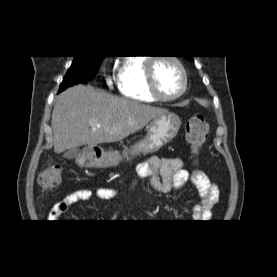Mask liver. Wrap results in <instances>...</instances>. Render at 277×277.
Listing matches in <instances>:
<instances>
[{"label": "liver", "instance_id": "1", "mask_svg": "<svg viewBox=\"0 0 277 277\" xmlns=\"http://www.w3.org/2000/svg\"><path fill=\"white\" fill-rule=\"evenodd\" d=\"M167 112L91 86L71 87L57 97L52 112L54 152L121 141Z\"/></svg>", "mask_w": 277, "mask_h": 277}]
</instances>
